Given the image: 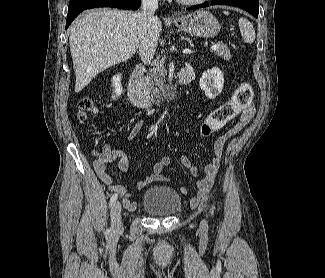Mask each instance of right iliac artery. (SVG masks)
<instances>
[{"mask_svg": "<svg viewBox=\"0 0 325 278\" xmlns=\"http://www.w3.org/2000/svg\"><path fill=\"white\" fill-rule=\"evenodd\" d=\"M118 195L115 193L112 195L111 199H110V206H112V204L117 200Z\"/></svg>", "mask_w": 325, "mask_h": 278, "instance_id": "1", "label": "right iliac artery"}]
</instances>
